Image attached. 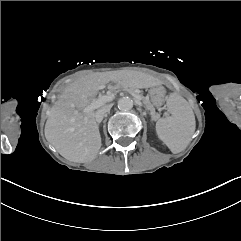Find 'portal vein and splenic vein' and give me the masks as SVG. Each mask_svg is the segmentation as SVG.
<instances>
[{
  "instance_id": "18ae733b",
  "label": "portal vein and splenic vein",
  "mask_w": 241,
  "mask_h": 241,
  "mask_svg": "<svg viewBox=\"0 0 241 241\" xmlns=\"http://www.w3.org/2000/svg\"><path fill=\"white\" fill-rule=\"evenodd\" d=\"M125 91L129 92L132 95V97L137 99V101H139V102L142 101V99H143L142 96H140V95L137 96L138 95L137 92H135V91L132 92L129 89H126ZM114 98H115L114 93L100 96L98 99H95L94 101H92L90 105L85 107L84 112L93 111V110L103 106L105 103L113 101Z\"/></svg>"
}]
</instances>
